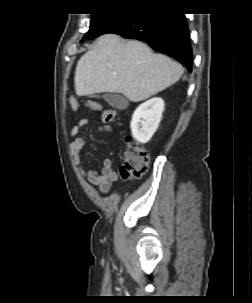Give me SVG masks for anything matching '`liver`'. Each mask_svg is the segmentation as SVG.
Returning a JSON list of instances; mask_svg holds the SVG:
<instances>
[{"label":"liver","instance_id":"1","mask_svg":"<svg viewBox=\"0 0 252 303\" xmlns=\"http://www.w3.org/2000/svg\"><path fill=\"white\" fill-rule=\"evenodd\" d=\"M183 72L180 64L152 53L144 43L106 34L78 61L75 92L78 96L121 93L139 102L176 83Z\"/></svg>","mask_w":252,"mask_h":303}]
</instances>
